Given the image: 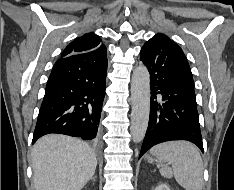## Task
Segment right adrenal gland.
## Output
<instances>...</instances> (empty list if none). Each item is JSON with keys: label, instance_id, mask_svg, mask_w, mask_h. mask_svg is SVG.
Segmentation results:
<instances>
[{"label": "right adrenal gland", "instance_id": "1", "mask_svg": "<svg viewBox=\"0 0 234 190\" xmlns=\"http://www.w3.org/2000/svg\"><path fill=\"white\" fill-rule=\"evenodd\" d=\"M96 177H93L92 180L95 181Z\"/></svg>", "mask_w": 234, "mask_h": 190}]
</instances>
